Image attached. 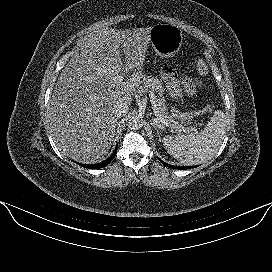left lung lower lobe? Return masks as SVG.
<instances>
[{
  "label": "left lung lower lobe",
  "mask_w": 272,
  "mask_h": 272,
  "mask_svg": "<svg viewBox=\"0 0 272 272\" xmlns=\"http://www.w3.org/2000/svg\"><path fill=\"white\" fill-rule=\"evenodd\" d=\"M160 162L165 166H168L170 168H175V169H189V168H191V166L190 167L189 166H179V167H177V166L168 165V164H166L165 162H163L161 160H160Z\"/></svg>",
  "instance_id": "left-lung-lower-lobe-1"
}]
</instances>
